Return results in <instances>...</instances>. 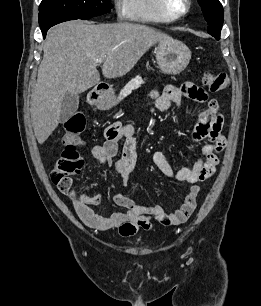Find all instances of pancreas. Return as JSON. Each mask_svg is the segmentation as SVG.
<instances>
[{
    "mask_svg": "<svg viewBox=\"0 0 261 306\" xmlns=\"http://www.w3.org/2000/svg\"><path fill=\"white\" fill-rule=\"evenodd\" d=\"M145 81L140 76H136L135 78L131 79L120 91L119 99L129 95L134 89L141 87Z\"/></svg>",
    "mask_w": 261,
    "mask_h": 306,
    "instance_id": "cf45deb5",
    "label": "pancreas"
}]
</instances>
